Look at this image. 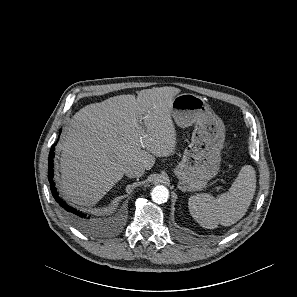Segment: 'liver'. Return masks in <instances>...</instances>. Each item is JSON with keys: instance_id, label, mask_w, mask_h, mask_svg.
Listing matches in <instances>:
<instances>
[{"instance_id": "1", "label": "liver", "mask_w": 297, "mask_h": 297, "mask_svg": "<svg viewBox=\"0 0 297 297\" xmlns=\"http://www.w3.org/2000/svg\"><path fill=\"white\" fill-rule=\"evenodd\" d=\"M175 87L144 89L83 107L60 141L61 191L73 203L96 204L137 164L150 170L176 146L171 118Z\"/></svg>"}]
</instances>
